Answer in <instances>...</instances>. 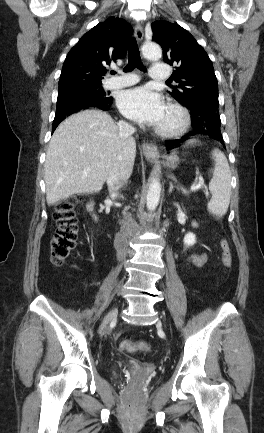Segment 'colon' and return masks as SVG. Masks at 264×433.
<instances>
[{"mask_svg": "<svg viewBox=\"0 0 264 433\" xmlns=\"http://www.w3.org/2000/svg\"><path fill=\"white\" fill-rule=\"evenodd\" d=\"M81 196L61 200L55 205L54 218L57 222V230L50 243L51 261L54 265H61L68 258L76 246L79 234V223L75 213L76 204ZM221 260L225 267L232 266L233 257L229 243L226 239L220 242ZM120 350L124 353L137 351H149L150 344L144 341L131 342L124 340L120 343Z\"/></svg>", "mask_w": 264, "mask_h": 433, "instance_id": "5ec220e1", "label": "colon"}]
</instances>
